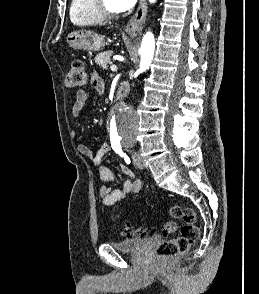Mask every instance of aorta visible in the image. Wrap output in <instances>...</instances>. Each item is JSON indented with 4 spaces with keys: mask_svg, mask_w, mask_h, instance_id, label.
I'll use <instances>...</instances> for the list:
<instances>
[{
    "mask_svg": "<svg viewBox=\"0 0 259 294\" xmlns=\"http://www.w3.org/2000/svg\"><path fill=\"white\" fill-rule=\"evenodd\" d=\"M156 0H149L154 3ZM155 50V39L151 32H147L140 48V68L141 72L149 69ZM139 127L138 114L125 105L117 106L113 109L109 117L108 132L111 138L121 142H134Z\"/></svg>",
    "mask_w": 259,
    "mask_h": 294,
    "instance_id": "762f6f07",
    "label": "aorta"
}]
</instances>
